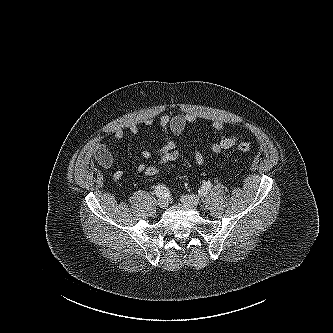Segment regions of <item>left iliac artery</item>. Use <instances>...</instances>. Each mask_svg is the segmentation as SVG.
Segmentation results:
<instances>
[{"label": "left iliac artery", "mask_w": 333, "mask_h": 333, "mask_svg": "<svg viewBox=\"0 0 333 333\" xmlns=\"http://www.w3.org/2000/svg\"><path fill=\"white\" fill-rule=\"evenodd\" d=\"M213 184L210 181L204 182L201 191L199 193L207 194L211 190Z\"/></svg>", "instance_id": "44dca946"}]
</instances>
